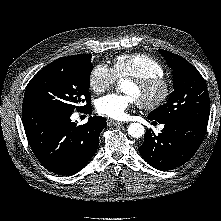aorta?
<instances>
[{
	"label": "aorta",
	"instance_id": "762f6f07",
	"mask_svg": "<svg viewBox=\"0 0 221 221\" xmlns=\"http://www.w3.org/2000/svg\"><path fill=\"white\" fill-rule=\"evenodd\" d=\"M128 134L133 138H140L144 135V127L140 123H131L128 127Z\"/></svg>",
	"mask_w": 221,
	"mask_h": 221
}]
</instances>
